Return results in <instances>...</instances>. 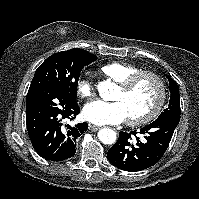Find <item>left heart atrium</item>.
<instances>
[{
  "label": "left heart atrium",
  "instance_id": "39dd6f15",
  "mask_svg": "<svg viewBox=\"0 0 199 199\" xmlns=\"http://www.w3.org/2000/svg\"><path fill=\"white\" fill-rule=\"evenodd\" d=\"M83 117L96 125L118 124L126 119L127 112L121 101L94 100L84 106Z\"/></svg>",
  "mask_w": 199,
  "mask_h": 199
}]
</instances>
